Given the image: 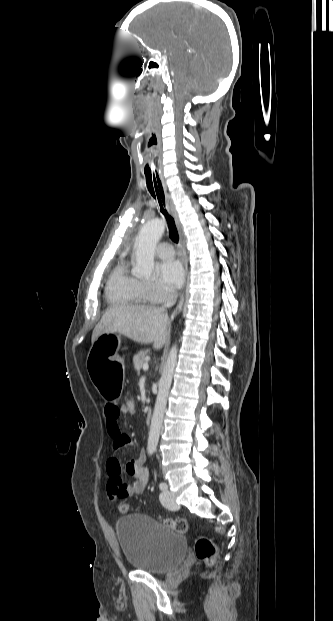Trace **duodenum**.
<instances>
[{
	"mask_svg": "<svg viewBox=\"0 0 333 621\" xmlns=\"http://www.w3.org/2000/svg\"><path fill=\"white\" fill-rule=\"evenodd\" d=\"M151 419H152V410L148 409L147 412H146V422L150 423Z\"/></svg>",
	"mask_w": 333,
	"mask_h": 621,
	"instance_id": "1",
	"label": "duodenum"
}]
</instances>
